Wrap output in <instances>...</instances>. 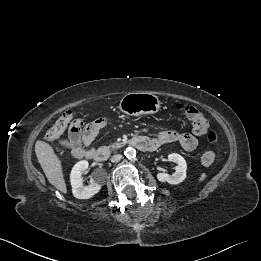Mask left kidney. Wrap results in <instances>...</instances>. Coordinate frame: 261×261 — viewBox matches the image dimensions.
<instances>
[{
    "instance_id": "1",
    "label": "left kidney",
    "mask_w": 261,
    "mask_h": 261,
    "mask_svg": "<svg viewBox=\"0 0 261 261\" xmlns=\"http://www.w3.org/2000/svg\"><path fill=\"white\" fill-rule=\"evenodd\" d=\"M168 160L177 163L175 173L169 175L165 172H159L157 173V179L160 182H167L174 185L181 183L186 178L187 164L185 159L177 153H171L168 155Z\"/></svg>"
}]
</instances>
